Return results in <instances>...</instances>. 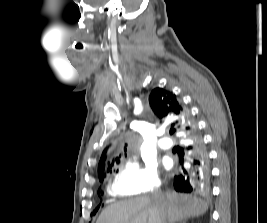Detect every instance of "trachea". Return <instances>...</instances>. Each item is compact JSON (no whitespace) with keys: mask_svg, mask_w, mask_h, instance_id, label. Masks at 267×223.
I'll use <instances>...</instances> for the list:
<instances>
[{"mask_svg":"<svg viewBox=\"0 0 267 223\" xmlns=\"http://www.w3.org/2000/svg\"><path fill=\"white\" fill-rule=\"evenodd\" d=\"M173 133H174V130L171 129V130H170V134L172 135Z\"/></svg>","mask_w":267,"mask_h":223,"instance_id":"obj_1","label":"trachea"}]
</instances>
